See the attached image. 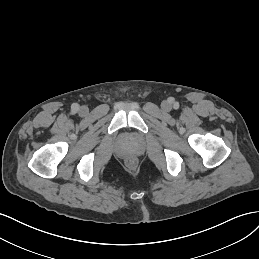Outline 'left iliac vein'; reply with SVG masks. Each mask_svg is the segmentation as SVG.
I'll return each mask as SVG.
<instances>
[{
  "label": "left iliac vein",
  "instance_id": "left-iliac-vein-1",
  "mask_svg": "<svg viewBox=\"0 0 259 259\" xmlns=\"http://www.w3.org/2000/svg\"><path fill=\"white\" fill-rule=\"evenodd\" d=\"M162 108L168 111L171 109V104L168 101H164L162 102Z\"/></svg>",
  "mask_w": 259,
  "mask_h": 259
}]
</instances>
